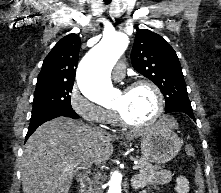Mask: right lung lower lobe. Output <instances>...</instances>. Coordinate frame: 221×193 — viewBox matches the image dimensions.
Here are the masks:
<instances>
[{
    "mask_svg": "<svg viewBox=\"0 0 221 193\" xmlns=\"http://www.w3.org/2000/svg\"><path fill=\"white\" fill-rule=\"evenodd\" d=\"M59 116H66L74 119L79 118V116L75 113L74 110H63V109H52L32 115L25 140L29 138V136L38 128V126H40L41 124H43L44 122L50 119H54Z\"/></svg>",
    "mask_w": 221,
    "mask_h": 193,
    "instance_id": "98d812e1",
    "label": "right lung lower lobe"
}]
</instances>
